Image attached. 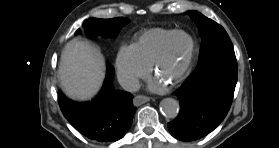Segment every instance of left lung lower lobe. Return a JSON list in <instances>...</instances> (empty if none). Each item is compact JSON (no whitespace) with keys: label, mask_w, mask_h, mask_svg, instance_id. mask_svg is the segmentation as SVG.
<instances>
[{"label":"left lung lower lobe","mask_w":279,"mask_h":148,"mask_svg":"<svg viewBox=\"0 0 279 148\" xmlns=\"http://www.w3.org/2000/svg\"><path fill=\"white\" fill-rule=\"evenodd\" d=\"M234 51L216 53L198 64L173 94L180 101L178 116L168 123L173 137L182 141L200 139L226 117L237 83Z\"/></svg>","instance_id":"left-lung-lower-lobe-1"}]
</instances>
